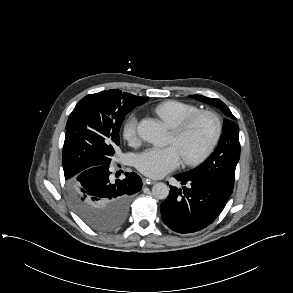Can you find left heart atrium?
Returning a JSON list of instances; mask_svg holds the SVG:
<instances>
[{
    "label": "left heart atrium",
    "instance_id": "39dd6f15",
    "mask_svg": "<svg viewBox=\"0 0 293 293\" xmlns=\"http://www.w3.org/2000/svg\"><path fill=\"white\" fill-rule=\"evenodd\" d=\"M182 154L176 145L147 148L136 156L135 165L139 171L153 178H160L176 169Z\"/></svg>",
    "mask_w": 293,
    "mask_h": 293
}]
</instances>
